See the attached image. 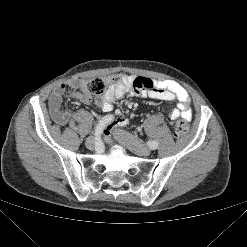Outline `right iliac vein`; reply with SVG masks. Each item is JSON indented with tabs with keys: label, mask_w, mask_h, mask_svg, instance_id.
<instances>
[{
	"label": "right iliac vein",
	"mask_w": 247,
	"mask_h": 247,
	"mask_svg": "<svg viewBox=\"0 0 247 247\" xmlns=\"http://www.w3.org/2000/svg\"><path fill=\"white\" fill-rule=\"evenodd\" d=\"M86 147L88 148V149H93L94 148V138L93 137H88L87 139H86Z\"/></svg>",
	"instance_id": "obj_1"
}]
</instances>
